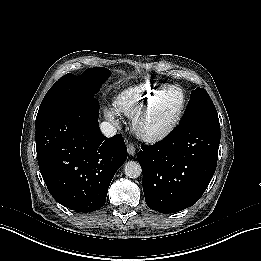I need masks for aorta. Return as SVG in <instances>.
Here are the masks:
<instances>
[{"label":"aorta","instance_id":"1","mask_svg":"<svg viewBox=\"0 0 261 261\" xmlns=\"http://www.w3.org/2000/svg\"><path fill=\"white\" fill-rule=\"evenodd\" d=\"M123 172L128 178H138L142 174L141 166L136 161H128L124 164Z\"/></svg>","mask_w":261,"mask_h":261}]
</instances>
